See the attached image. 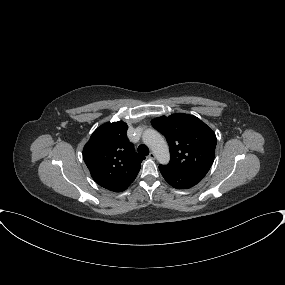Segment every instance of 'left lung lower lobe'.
Masks as SVG:
<instances>
[{"mask_svg": "<svg viewBox=\"0 0 285 285\" xmlns=\"http://www.w3.org/2000/svg\"><path fill=\"white\" fill-rule=\"evenodd\" d=\"M159 170L164 177V179L176 189H187L191 188L200 182L206 174L193 173V174H183L179 172L172 171L163 165L159 166Z\"/></svg>", "mask_w": 285, "mask_h": 285, "instance_id": "0a47b994", "label": "left lung lower lobe"}]
</instances>
